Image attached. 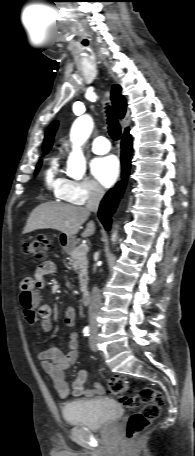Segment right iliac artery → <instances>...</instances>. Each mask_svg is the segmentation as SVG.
I'll return each mask as SVG.
<instances>
[{
	"label": "right iliac artery",
	"instance_id": "right-iliac-artery-1",
	"mask_svg": "<svg viewBox=\"0 0 195 456\" xmlns=\"http://www.w3.org/2000/svg\"><path fill=\"white\" fill-rule=\"evenodd\" d=\"M83 334H84V336H89L90 335V327L89 326H86L83 329Z\"/></svg>",
	"mask_w": 195,
	"mask_h": 456
}]
</instances>
